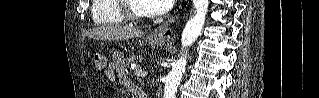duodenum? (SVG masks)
I'll return each mask as SVG.
<instances>
[{
  "label": "duodenum",
  "instance_id": "410a0bca",
  "mask_svg": "<svg viewBox=\"0 0 319 98\" xmlns=\"http://www.w3.org/2000/svg\"><path fill=\"white\" fill-rule=\"evenodd\" d=\"M133 93L136 98H147V96L138 87L133 88Z\"/></svg>",
  "mask_w": 319,
  "mask_h": 98
}]
</instances>
